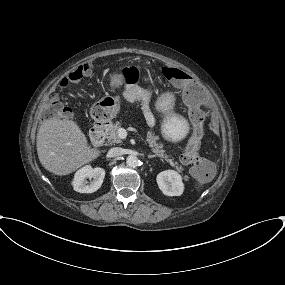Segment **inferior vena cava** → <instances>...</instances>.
Segmentation results:
<instances>
[{
  "mask_svg": "<svg viewBox=\"0 0 285 285\" xmlns=\"http://www.w3.org/2000/svg\"><path fill=\"white\" fill-rule=\"evenodd\" d=\"M123 149L120 147H113L109 150L108 154L110 157H118L123 155Z\"/></svg>",
  "mask_w": 285,
  "mask_h": 285,
  "instance_id": "inferior-vena-cava-1",
  "label": "inferior vena cava"
}]
</instances>
